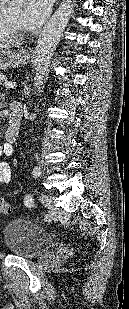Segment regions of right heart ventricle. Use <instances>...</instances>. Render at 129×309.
Instances as JSON below:
<instances>
[{
    "label": "right heart ventricle",
    "mask_w": 129,
    "mask_h": 309,
    "mask_svg": "<svg viewBox=\"0 0 129 309\" xmlns=\"http://www.w3.org/2000/svg\"><path fill=\"white\" fill-rule=\"evenodd\" d=\"M3 1L4 0H0V45L9 43L13 40V37L8 33L3 22V11H2Z\"/></svg>",
    "instance_id": "e07e8e85"
}]
</instances>
